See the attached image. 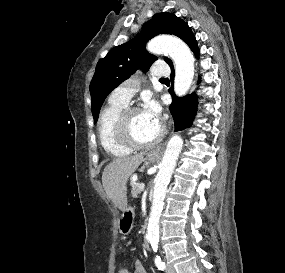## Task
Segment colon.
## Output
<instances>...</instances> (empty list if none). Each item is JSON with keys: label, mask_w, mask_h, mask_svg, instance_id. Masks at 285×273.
Listing matches in <instances>:
<instances>
[{"label": "colon", "mask_w": 285, "mask_h": 273, "mask_svg": "<svg viewBox=\"0 0 285 273\" xmlns=\"http://www.w3.org/2000/svg\"><path fill=\"white\" fill-rule=\"evenodd\" d=\"M125 272V268H122L119 270V273H124Z\"/></svg>", "instance_id": "obj_1"}]
</instances>
